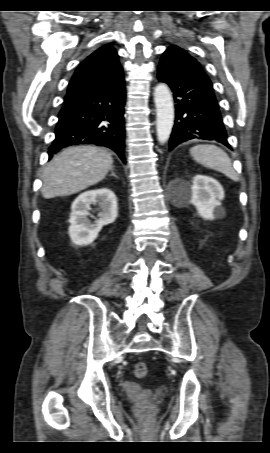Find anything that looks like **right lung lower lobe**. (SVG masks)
Wrapping results in <instances>:
<instances>
[{
	"mask_svg": "<svg viewBox=\"0 0 270 453\" xmlns=\"http://www.w3.org/2000/svg\"><path fill=\"white\" fill-rule=\"evenodd\" d=\"M124 104L123 72L99 88L68 93L59 112L49 159L68 146L95 144L114 150L125 162Z\"/></svg>",
	"mask_w": 270,
	"mask_h": 453,
	"instance_id": "98d812e1",
	"label": "right lung lower lobe"
}]
</instances>
